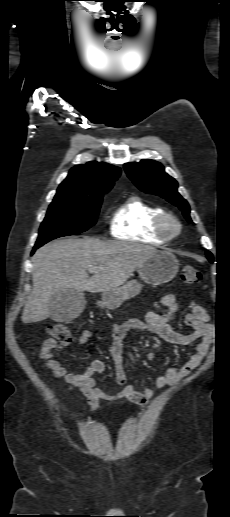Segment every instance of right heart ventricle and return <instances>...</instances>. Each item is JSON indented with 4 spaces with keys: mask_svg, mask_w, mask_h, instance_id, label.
<instances>
[{
    "mask_svg": "<svg viewBox=\"0 0 230 517\" xmlns=\"http://www.w3.org/2000/svg\"><path fill=\"white\" fill-rule=\"evenodd\" d=\"M164 210L142 197L126 198L114 211L110 221L111 235L117 239L150 244H163L165 239L157 232L156 221Z\"/></svg>",
    "mask_w": 230,
    "mask_h": 517,
    "instance_id": "1",
    "label": "right heart ventricle"
}]
</instances>
